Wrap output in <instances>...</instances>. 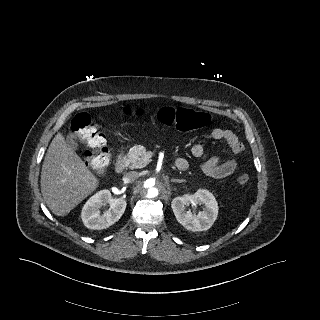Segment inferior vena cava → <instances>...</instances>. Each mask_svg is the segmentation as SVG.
Masks as SVG:
<instances>
[{
    "label": "inferior vena cava",
    "mask_w": 320,
    "mask_h": 320,
    "mask_svg": "<svg viewBox=\"0 0 320 320\" xmlns=\"http://www.w3.org/2000/svg\"><path fill=\"white\" fill-rule=\"evenodd\" d=\"M138 177H139L138 172L131 171V172L127 173L126 175H124L123 181L125 183H130V182L135 181Z\"/></svg>",
    "instance_id": "602c4592"
}]
</instances>
